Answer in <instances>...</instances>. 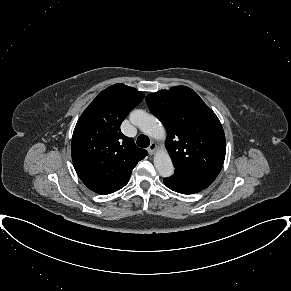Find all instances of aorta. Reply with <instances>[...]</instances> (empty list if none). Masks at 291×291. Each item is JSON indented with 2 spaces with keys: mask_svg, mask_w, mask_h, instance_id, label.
I'll use <instances>...</instances> for the list:
<instances>
[{
  "mask_svg": "<svg viewBox=\"0 0 291 291\" xmlns=\"http://www.w3.org/2000/svg\"><path fill=\"white\" fill-rule=\"evenodd\" d=\"M130 120L142 132L154 139H162L166 135L165 128L160 121L143 110L133 111ZM154 166L162 177H170L174 173L172 160L166 150H159L155 154Z\"/></svg>",
  "mask_w": 291,
  "mask_h": 291,
  "instance_id": "obj_1",
  "label": "aorta"
}]
</instances>
